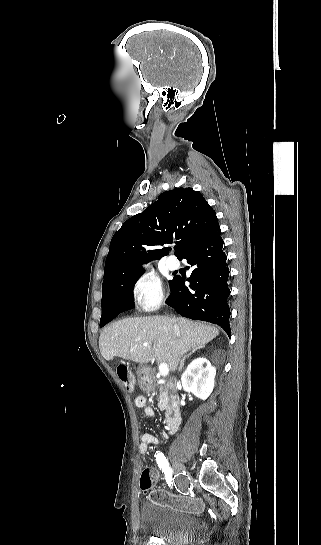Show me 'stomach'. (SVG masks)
Listing matches in <instances>:
<instances>
[{"label":"stomach","mask_w":321,"mask_h":545,"mask_svg":"<svg viewBox=\"0 0 321 545\" xmlns=\"http://www.w3.org/2000/svg\"><path fill=\"white\" fill-rule=\"evenodd\" d=\"M146 369H148L147 365H142V363H140V365H138V367H137V375H138V377H140L141 381H142L143 377H145ZM143 387L145 389V385H143Z\"/></svg>","instance_id":"obj_1"}]
</instances>
